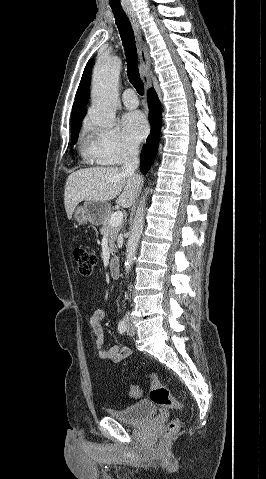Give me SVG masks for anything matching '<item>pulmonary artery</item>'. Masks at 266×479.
Listing matches in <instances>:
<instances>
[{
    "label": "pulmonary artery",
    "mask_w": 266,
    "mask_h": 479,
    "mask_svg": "<svg viewBox=\"0 0 266 479\" xmlns=\"http://www.w3.org/2000/svg\"><path fill=\"white\" fill-rule=\"evenodd\" d=\"M122 102L129 109L136 108L138 106V98L135 90L132 88L126 89L122 94Z\"/></svg>",
    "instance_id": "obj_1"
}]
</instances>
